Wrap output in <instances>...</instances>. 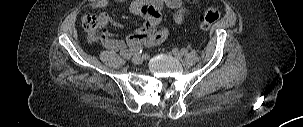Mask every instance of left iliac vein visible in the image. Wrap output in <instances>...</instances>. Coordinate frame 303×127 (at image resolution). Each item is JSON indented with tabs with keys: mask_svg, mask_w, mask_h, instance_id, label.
I'll list each match as a JSON object with an SVG mask.
<instances>
[{
	"mask_svg": "<svg viewBox=\"0 0 303 127\" xmlns=\"http://www.w3.org/2000/svg\"><path fill=\"white\" fill-rule=\"evenodd\" d=\"M176 59H181L182 58V53L179 52L177 49H174L171 53Z\"/></svg>",
	"mask_w": 303,
	"mask_h": 127,
	"instance_id": "obj_1",
	"label": "left iliac vein"
}]
</instances>
